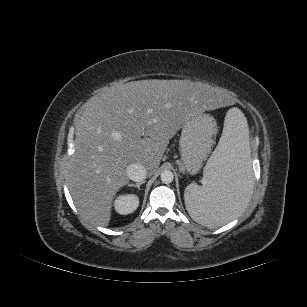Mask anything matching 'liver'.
Returning a JSON list of instances; mask_svg holds the SVG:
<instances>
[{
  "label": "liver",
  "instance_id": "6515ba94",
  "mask_svg": "<svg viewBox=\"0 0 307 307\" xmlns=\"http://www.w3.org/2000/svg\"><path fill=\"white\" fill-rule=\"evenodd\" d=\"M226 94L189 80H139L118 84L91 98L76 124L68 187L79 213L108 226L112 202L128 183L127 167L154 172L169 141L192 116L220 110Z\"/></svg>",
  "mask_w": 307,
  "mask_h": 307
}]
</instances>
